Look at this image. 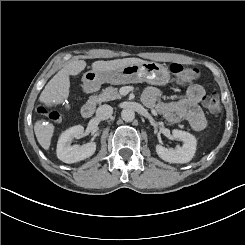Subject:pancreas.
Masks as SVG:
<instances>
[{"label":"pancreas","instance_id":"pancreas-1","mask_svg":"<svg viewBox=\"0 0 245 245\" xmlns=\"http://www.w3.org/2000/svg\"><path fill=\"white\" fill-rule=\"evenodd\" d=\"M115 99H121V95L118 92V89L114 87H107L102 91L101 94L90 96L87 103L96 105L102 102L115 100Z\"/></svg>","mask_w":245,"mask_h":245}]
</instances>
